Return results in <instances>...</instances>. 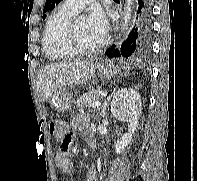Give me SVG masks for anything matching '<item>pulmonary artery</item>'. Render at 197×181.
<instances>
[{
	"label": "pulmonary artery",
	"instance_id": "pulmonary-artery-1",
	"mask_svg": "<svg viewBox=\"0 0 197 181\" xmlns=\"http://www.w3.org/2000/svg\"><path fill=\"white\" fill-rule=\"evenodd\" d=\"M92 0H64L63 6L75 13L82 10Z\"/></svg>",
	"mask_w": 197,
	"mask_h": 181
}]
</instances>
